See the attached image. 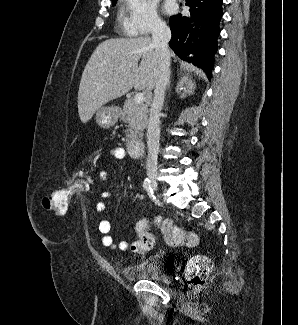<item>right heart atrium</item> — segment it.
Listing matches in <instances>:
<instances>
[{"mask_svg": "<svg viewBox=\"0 0 298 325\" xmlns=\"http://www.w3.org/2000/svg\"><path fill=\"white\" fill-rule=\"evenodd\" d=\"M127 11V37H145L148 30H161L163 27L155 0H129Z\"/></svg>", "mask_w": 298, "mask_h": 325, "instance_id": "right-heart-atrium-1", "label": "right heart atrium"}]
</instances>
